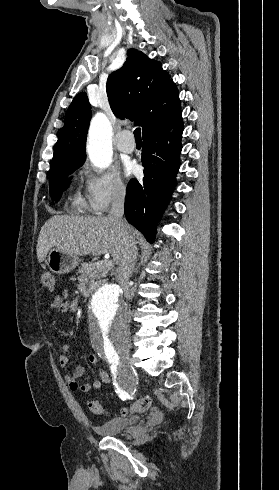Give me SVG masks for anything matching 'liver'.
Wrapping results in <instances>:
<instances>
[{
	"label": "liver",
	"mask_w": 279,
	"mask_h": 490,
	"mask_svg": "<svg viewBox=\"0 0 279 490\" xmlns=\"http://www.w3.org/2000/svg\"><path fill=\"white\" fill-rule=\"evenodd\" d=\"M125 232L133 240L140 236L129 224H126ZM54 246L75 256L111 254L115 264L120 262L124 252V240L119 228L112 226L103 216H53L39 232L38 262H44Z\"/></svg>",
	"instance_id": "6515ba94"
}]
</instances>
